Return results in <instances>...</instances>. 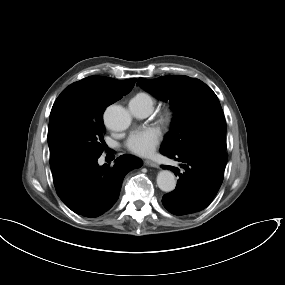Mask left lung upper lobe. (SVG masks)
Listing matches in <instances>:
<instances>
[{
  "mask_svg": "<svg viewBox=\"0 0 285 285\" xmlns=\"http://www.w3.org/2000/svg\"><path fill=\"white\" fill-rule=\"evenodd\" d=\"M137 84L171 103L174 117L160 152L201 147L226 151L224 114L218 97L205 83L188 76L167 75L152 80L139 78Z\"/></svg>",
  "mask_w": 285,
  "mask_h": 285,
  "instance_id": "left-lung-upper-lobe-1",
  "label": "left lung upper lobe"
}]
</instances>
